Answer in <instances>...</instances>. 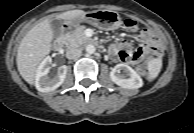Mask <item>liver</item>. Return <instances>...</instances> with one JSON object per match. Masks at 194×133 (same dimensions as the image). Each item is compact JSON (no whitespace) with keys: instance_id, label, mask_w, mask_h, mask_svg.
<instances>
[{"instance_id":"1","label":"liver","mask_w":194,"mask_h":133,"mask_svg":"<svg viewBox=\"0 0 194 133\" xmlns=\"http://www.w3.org/2000/svg\"><path fill=\"white\" fill-rule=\"evenodd\" d=\"M84 13L83 10H71L55 14L27 32L19 44L16 57L18 71L27 83L34 84L40 62L51 51V42L54 38L50 24L51 19L71 20Z\"/></svg>"}]
</instances>
